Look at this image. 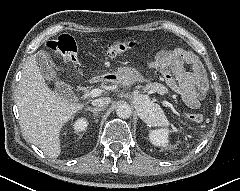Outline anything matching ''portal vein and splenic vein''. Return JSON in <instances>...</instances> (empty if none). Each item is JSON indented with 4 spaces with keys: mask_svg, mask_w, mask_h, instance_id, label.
<instances>
[{
    "mask_svg": "<svg viewBox=\"0 0 240 191\" xmlns=\"http://www.w3.org/2000/svg\"><path fill=\"white\" fill-rule=\"evenodd\" d=\"M103 91L100 89H92L91 91H89L88 93H86V96L88 97H97L99 96ZM153 92V91H152Z\"/></svg>",
    "mask_w": 240,
    "mask_h": 191,
    "instance_id": "portal-vein-and-splenic-vein-1",
    "label": "portal vein and splenic vein"
}]
</instances>
